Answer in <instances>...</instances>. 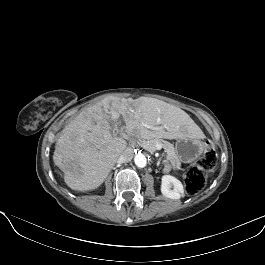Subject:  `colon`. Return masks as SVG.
Segmentation results:
<instances>
[{"label":"colon","mask_w":265,"mask_h":265,"mask_svg":"<svg viewBox=\"0 0 265 265\" xmlns=\"http://www.w3.org/2000/svg\"><path fill=\"white\" fill-rule=\"evenodd\" d=\"M216 161L215 147L208 142L202 158L186 172L185 186L190 195H196L202 191L205 186L206 173L215 166Z\"/></svg>","instance_id":"obj_1"}]
</instances>
